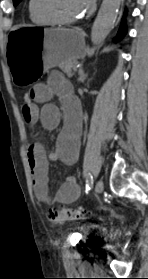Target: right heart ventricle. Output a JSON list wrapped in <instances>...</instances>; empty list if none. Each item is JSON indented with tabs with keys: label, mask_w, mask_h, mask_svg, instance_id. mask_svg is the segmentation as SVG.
I'll return each mask as SVG.
<instances>
[{
	"label": "right heart ventricle",
	"mask_w": 148,
	"mask_h": 279,
	"mask_svg": "<svg viewBox=\"0 0 148 279\" xmlns=\"http://www.w3.org/2000/svg\"><path fill=\"white\" fill-rule=\"evenodd\" d=\"M28 11H29V15H30V19L31 21L39 26H47V25H51L52 22L45 19L44 17L40 16L34 9V0H29L28 3Z\"/></svg>",
	"instance_id": "obj_1"
}]
</instances>
